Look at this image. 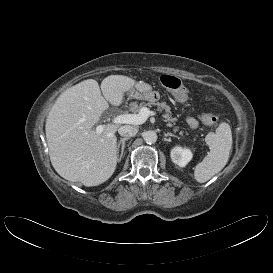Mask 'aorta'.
Returning a JSON list of instances; mask_svg holds the SVG:
<instances>
[{
    "mask_svg": "<svg viewBox=\"0 0 273 273\" xmlns=\"http://www.w3.org/2000/svg\"><path fill=\"white\" fill-rule=\"evenodd\" d=\"M143 138L147 144H153L157 141V134L155 131L149 130L143 134Z\"/></svg>",
    "mask_w": 273,
    "mask_h": 273,
    "instance_id": "aorta-1",
    "label": "aorta"
}]
</instances>
